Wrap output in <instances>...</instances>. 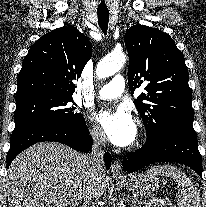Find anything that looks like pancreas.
Returning <instances> with one entry per match:
<instances>
[{"instance_id": "1", "label": "pancreas", "mask_w": 206, "mask_h": 207, "mask_svg": "<svg viewBox=\"0 0 206 207\" xmlns=\"http://www.w3.org/2000/svg\"><path fill=\"white\" fill-rule=\"evenodd\" d=\"M138 204L140 205L139 207H161L156 200L139 201Z\"/></svg>"}]
</instances>
